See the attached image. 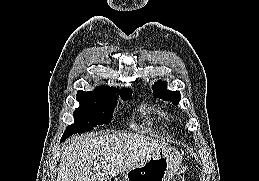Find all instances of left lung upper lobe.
I'll return each mask as SVG.
<instances>
[{
  "label": "left lung upper lobe",
  "mask_w": 259,
  "mask_h": 181,
  "mask_svg": "<svg viewBox=\"0 0 259 181\" xmlns=\"http://www.w3.org/2000/svg\"><path fill=\"white\" fill-rule=\"evenodd\" d=\"M153 89L154 94L164 101H171L174 104H178L181 99L180 92L167 90L166 84L163 81H158L157 83H155L153 85Z\"/></svg>",
  "instance_id": "5c2ea615"
}]
</instances>
